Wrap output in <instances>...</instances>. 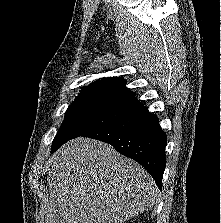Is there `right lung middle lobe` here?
I'll return each instance as SVG.
<instances>
[{"mask_svg": "<svg viewBox=\"0 0 221 223\" xmlns=\"http://www.w3.org/2000/svg\"><path fill=\"white\" fill-rule=\"evenodd\" d=\"M136 107L105 100H75L68 107L65 119L52 144V153L70 139L104 127L124 117Z\"/></svg>", "mask_w": 221, "mask_h": 223, "instance_id": "dd1d6c3e", "label": "right lung middle lobe"}]
</instances>
